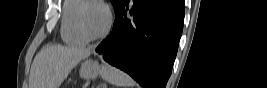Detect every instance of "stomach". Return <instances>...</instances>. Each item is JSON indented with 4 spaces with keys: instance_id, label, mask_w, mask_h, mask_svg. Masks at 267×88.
<instances>
[{
    "instance_id": "1",
    "label": "stomach",
    "mask_w": 267,
    "mask_h": 88,
    "mask_svg": "<svg viewBox=\"0 0 267 88\" xmlns=\"http://www.w3.org/2000/svg\"><path fill=\"white\" fill-rule=\"evenodd\" d=\"M101 74V66L92 60H85L80 68V76L84 79H94Z\"/></svg>"
}]
</instances>
